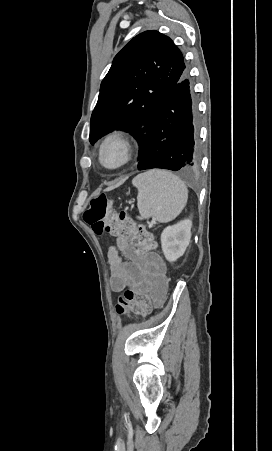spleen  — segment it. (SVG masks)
<instances>
[{"instance_id": "spleen-1", "label": "spleen", "mask_w": 272, "mask_h": 451, "mask_svg": "<svg viewBox=\"0 0 272 451\" xmlns=\"http://www.w3.org/2000/svg\"><path fill=\"white\" fill-rule=\"evenodd\" d=\"M132 184L138 190L139 220L153 216L157 222H171L187 204V186L178 176L166 170L138 174Z\"/></svg>"}]
</instances>
